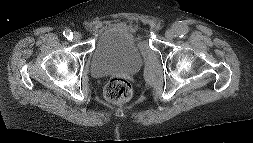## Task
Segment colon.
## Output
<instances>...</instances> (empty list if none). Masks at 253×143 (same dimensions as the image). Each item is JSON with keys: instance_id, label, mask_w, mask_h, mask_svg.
<instances>
[{"instance_id": "colon-1", "label": "colon", "mask_w": 253, "mask_h": 143, "mask_svg": "<svg viewBox=\"0 0 253 143\" xmlns=\"http://www.w3.org/2000/svg\"><path fill=\"white\" fill-rule=\"evenodd\" d=\"M104 96L109 103H125L132 96V86L126 79L113 78L107 83Z\"/></svg>"}]
</instances>
